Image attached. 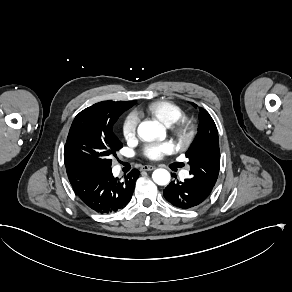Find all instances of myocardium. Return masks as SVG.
<instances>
[{
  "label": "myocardium",
  "mask_w": 292,
  "mask_h": 292,
  "mask_svg": "<svg viewBox=\"0 0 292 292\" xmlns=\"http://www.w3.org/2000/svg\"><path fill=\"white\" fill-rule=\"evenodd\" d=\"M176 135L183 139L189 140L192 137L193 131L190 122L187 119H179L175 124Z\"/></svg>",
  "instance_id": "1"
}]
</instances>
